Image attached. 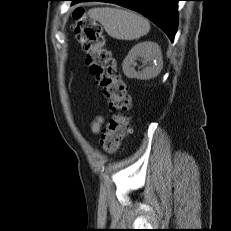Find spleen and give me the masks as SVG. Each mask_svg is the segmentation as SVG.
<instances>
[{"label": "spleen", "mask_w": 231, "mask_h": 231, "mask_svg": "<svg viewBox=\"0 0 231 231\" xmlns=\"http://www.w3.org/2000/svg\"><path fill=\"white\" fill-rule=\"evenodd\" d=\"M88 14L101 23L107 34L115 39H139L150 30V23L146 18L128 10L102 7L90 9Z\"/></svg>", "instance_id": "1"}]
</instances>
